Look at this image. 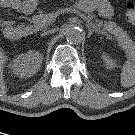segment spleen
<instances>
[{
    "instance_id": "3e777b00",
    "label": "spleen",
    "mask_w": 135,
    "mask_h": 135,
    "mask_svg": "<svg viewBox=\"0 0 135 135\" xmlns=\"http://www.w3.org/2000/svg\"><path fill=\"white\" fill-rule=\"evenodd\" d=\"M120 83L124 88L135 85V63H127L122 67Z\"/></svg>"
}]
</instances>
